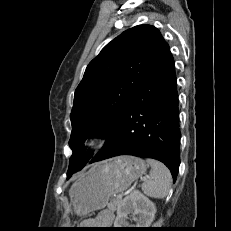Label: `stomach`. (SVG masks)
<instances>
[{
	"mask_svg": "<svg viewBox=\"0 0 231 231\" xmlns=\"http://www.w3.org/2000/svg\"><path fill=\"white\" fill-rule=\"evenodd\" d=\"M146 168L145 162L134 156H118L96 164L71 187L75 212L86 215L104 208L111 196L125 191Z\"/></svg>",
	"mask_w": 231,
	"mask_h": 231,
	"instance_id": "0dacf381",
	"label": "stomach"
}]
</instances>
